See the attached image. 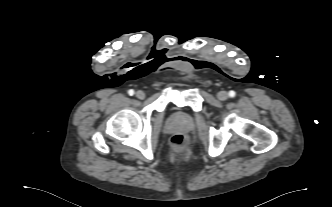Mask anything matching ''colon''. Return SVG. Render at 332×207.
<instances>
[{
	"label": "colon",
	"mask_w": 332,
	"mask_h": 207,
	"mask_svg": "<svg viewBox=\"0 0 332 207\" xmlns=\"http://www.w3.org/2000/svg\"><path fill=\"white\" fill-rule=\"evenodd\" d=\"M170 147L178 153L185 152L189 148V140L186 136L177 134L170 139Z\"/></svg>",
	"instance_id": "1"
}]
</instances>
